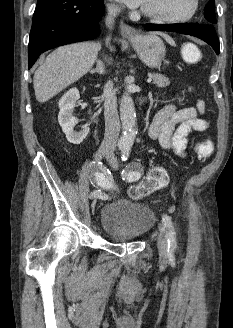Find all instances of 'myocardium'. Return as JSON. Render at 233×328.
I'll use <instances>...</instances> for the list:
<instances>
[{
	"instance_id": "f54148a6",
	"label": "myocardium",
	"mask_w": 233,
	"mask_h": 328,
	"mask_svg": "<svg viewBox=\"0 0 233 328\" xmlns=\"http://www.w3.org/2000/svg\"><path fill=\"white\" fill-rule=\"evenodd\" d=\"M200 8V1L199 0H191V8L186 15L180 17H169L164 16L161 14H156L145 10L144 8L141 9V13L146 18L158 22V23H166V24H180L186 23L191 21L198 13Z\"/></svg>"
}]
</instances>
